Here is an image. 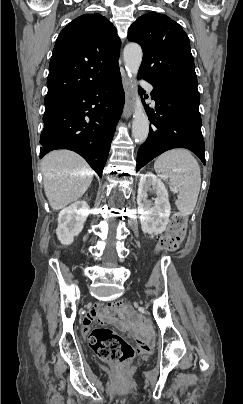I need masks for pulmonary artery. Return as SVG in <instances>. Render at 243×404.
<instances>
[{
    "label": "pulmonary artery",
    "instance_id": "pulmonary-artery-1",
    "mask_svg": "<svg viewBox=\"0 0 243 404\" xmlns=\"http://www.w3.org/2000/svg\"><path fill=\"white\" fill-rule=\"evenodd\" d=\"M145 88H146V90L148 91V93H149L150 95L153 94L154 86H153L152 84H150V83L146 84V85H145Z\"/></svg>",
    "mask_w": 243,
    "mask_h": 404
}]
</instances>
